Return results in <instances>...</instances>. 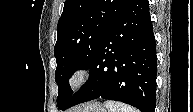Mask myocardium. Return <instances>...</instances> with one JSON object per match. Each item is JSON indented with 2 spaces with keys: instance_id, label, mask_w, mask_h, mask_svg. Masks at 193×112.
Wrapping results in <instances>:
<instances>
[{
  "instance_id": "f54148a6",
  "label": "myocardium",
  "mask_w": 193,
  "mask_h": 112,
  "mask_svg": "<svg viewBox=\"0 0 193 112\" xmlns=\"http://www.w3.org/2000/svg\"><path fill=\"white\" fill-rule=\"evenodd\" d=\"M89 79V70L85 66L77 67L69 76L68 88L72 92L79 91Z\"/></svg>"
}]
</instances>
